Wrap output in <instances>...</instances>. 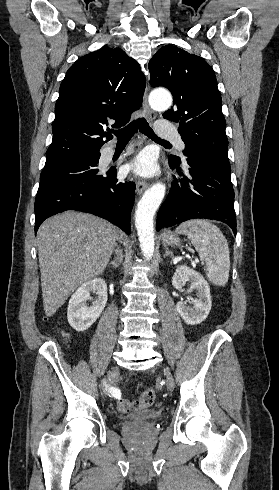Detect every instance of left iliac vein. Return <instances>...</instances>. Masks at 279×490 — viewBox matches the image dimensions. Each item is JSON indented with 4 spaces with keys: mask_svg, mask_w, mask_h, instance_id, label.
Segmentation results:
<instances>
[{
    "mask_svg": "<svg viewBox=\"0 0 279 490\" xmlns=\"http://www.w3.org/2000/svg\"><path fill=\"white\" fill-rule=\"evenodd\" d=\"M165 374H166V382H167L168 388L170 390H172L173 385H174L173 376L168 371H166Z\"/></svg>",
    "mask_w": 279,
    "mask_h": 490,
    "instance_id": "4c4485c4",
    "label": "left iliac vein"
}]
</instances>
